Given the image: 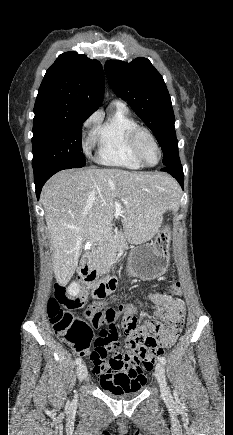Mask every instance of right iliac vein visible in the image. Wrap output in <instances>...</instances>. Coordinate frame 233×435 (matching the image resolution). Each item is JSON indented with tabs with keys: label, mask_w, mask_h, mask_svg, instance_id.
Here are the masks:
<instances>
[{
	"label": "right iliac vein",
	"mask_w": 233,
	"mask_h": 435,
	"mask_svg": "<svg viewBox=\"0 0 233 435\" xmlns=\"http://www.w3.org/2000/svg\"><path fill=\"white\" fill-rule=\"evenodd\" d=\"M87 368L85 364H80L77 367V375L80 381H83L87 376Z\"/></svg>",
	"instance_id": "63e3f726"
}]
</instances>
